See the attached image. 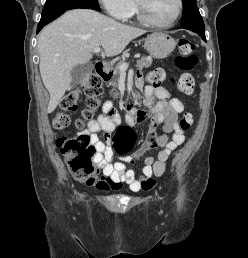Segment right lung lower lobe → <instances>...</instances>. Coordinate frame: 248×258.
Returning <instances> with one entry per match:
<instances>
[{
	"label": "right lung lower lobe",
	"instance_id": "obj_1",
	"mask_svg": "<svg viewBox=\"0 0 248 258\" xmlns=\"http://www.w3.org/2000/svg\"><path fill=\"white\" fill-rule=\"evenodd\" d=\"M75 8H86V9H93V10H96V11H99L100 8L99 6H95V5H91V4H80V5H77V6H74L72 8H68V9H64V10H61L59 12H56L52 15H49L47 17H44V18H41L39 24H38V27H37V33L45 26L47 25L48 23H50L51 21L55 20L56 18H58L60 15H62L66 10H70V9H75Z\"/></svg>",
	"mask_w": 248,
	"mask_h": 258
}]
</instances>
